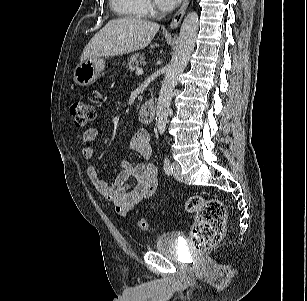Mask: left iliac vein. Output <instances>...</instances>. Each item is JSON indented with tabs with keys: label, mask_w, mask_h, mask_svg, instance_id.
<instances>
[{
	"label": "left iliac vein",
	"mask_w": 307,
	"mask_h": 301,
	"mask_svg": "<svg viewBox=\"0 0 307 301\" xmlns=\"http://www.w3.org/2000/svg\"><path fill=\"white\" fill-rule=\"evenodd\" d=\"M173 176L178 181H182L183 180V175L181 173V166L177 162L173 163Z\"/></svg>",
	"instance_id": "1"
}]
</instances>
